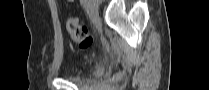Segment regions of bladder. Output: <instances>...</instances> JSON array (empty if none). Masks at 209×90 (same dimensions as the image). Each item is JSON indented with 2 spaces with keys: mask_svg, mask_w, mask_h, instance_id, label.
Masks as SVG:
<instances>
[{
  "mask_svg": "<svg viewBox=\"0 0 209 90\" xmlns=\"http://www.w3.org/2000/svg\"><path fill=\"white\" fill-rule=\"evenodd\" d=\"M80 69L78 67H74L70 70L69 74L70 76H76L79 74Z\"/></svg>",
  "mask_w": 209,
  "mask_h": 90,
  "instance_id": "bladder-1",
  "label": "bladder"
}]
</instances>
